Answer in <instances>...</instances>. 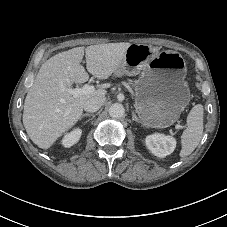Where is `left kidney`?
Returning <instances> with one entry per match:
<instances>
[{
  "label": "left kidney",
  "instance_id": "1",
  "mask_svg": "<svg viewBox=\"0 0 227 227\" xmlns=\"http://www.w3.org/2000/svg\"><path fill=\"white\" fill-rule=\"evenodd\" d=\"M147 148L157 157L164 158L170 155L175 147L176 140L172 136L155 133L145 139Z\"/></svg>",
  "mask_w": 227,
  "mask_h": 227
}]
</instances>
